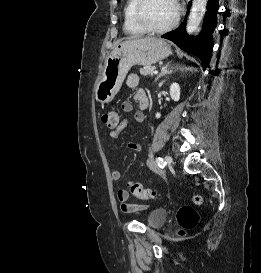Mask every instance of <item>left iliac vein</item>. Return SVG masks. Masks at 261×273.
Masks as SVG:
<instances>
[{
    "label": "left iliac vein",
    "instance_id": "4c4485c4",
    "mask_svg": "<svg viewBox=\"0 0 261 273\" xmlns=\"http://www.w3.org/2000/svg\"><path fill=\"white\" fill-rule=\"evenodd\" d=\"M165 161H166L168 164H171V163H172V158H171V156H169V155L165 156Z\"/></svg>",
    "mask_w": 261,
    "mask_h": 273
}]
</instances>
